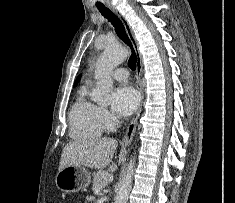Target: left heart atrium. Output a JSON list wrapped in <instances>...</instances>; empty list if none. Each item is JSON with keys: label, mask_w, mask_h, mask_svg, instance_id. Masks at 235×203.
Instances as JSON below:
<instances>
[{"label": "left heart atrium", "mask_w": 235, "mask_h": 203, "mask_svg": "<svg viewBox=\"0 0 235 203\" xmlns=\"http://www.w3.org/2000/svg\"><path fill=\"white\" fill-rule=\"evenodd\" d=\"M139 104L137 91L130 86L122 85L116 88L111 97V107L113 112L119 117L131 115Z\"/></svg>", "instance_id": "39dd6f15"}]
</instances>
